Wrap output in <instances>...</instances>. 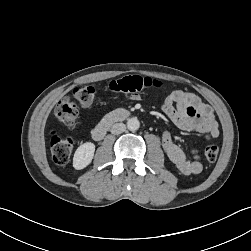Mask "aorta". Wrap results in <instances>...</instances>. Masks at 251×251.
Returning a JSON list of instances; mask_svg holds the SVG:
<instances>
[{"instance_id":"aorta-1","label":"aorta","mask_w":251,"mask_h":251,"mask_svg":"<svg viewBox=\"0 0 251 251\" xmlns=\"http://www.w3.org/2000/svg\"><path fill=\"white\" fill-rule=\"evenodd\" d=\"M140 127V122L137 118L133 117L127 120V128L130 131H136Z\"/></svg>"}]
</instances>
